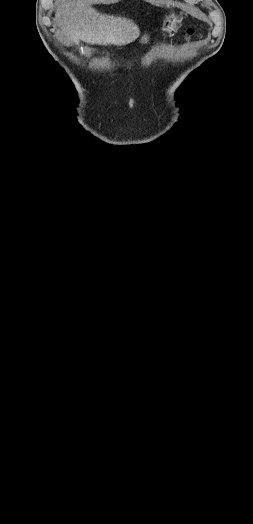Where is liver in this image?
Returning a JSON list of instances; mask_svg holds the SVG:
<instances>
[{"label": "liver", "mask_w": 253, "mask_h": 524, "mask_svg": "<svg viewBox=\"0 0 253 524\" xmlns=\"http://www.w3.org/2000/svg\"><path fill=\"white\" fill-rule=\"evenodd\" d=\"M55 19L67 45L90 44L117 46L129 44L140 34L131 20L102 14L91 6L90 0H60Z\"/></svg>", "instance_id": "obj_1"}]
</instances>
